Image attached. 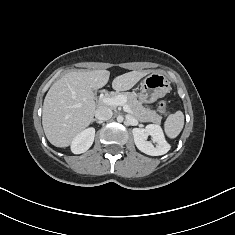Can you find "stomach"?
Returning a JSON list of instances; mask_svg holds the SVG:
<instances>
[{
    "label": "stomach",
    "mask_w": 235,
    "mask_h": 235,
    "mask_svg": "<svg viewBox=\"0 0 235 235\" xmlns=\"http://www.w3.org/2000/svg\"><path fill=\"white\" fill-rule=\"evenodd\" d=\"M170 90V81L160 72L147 76L140 85L138 98L142 103H153Z\"/></svg>",
    "instance_id": "0dacf381"
}]
</instances>
